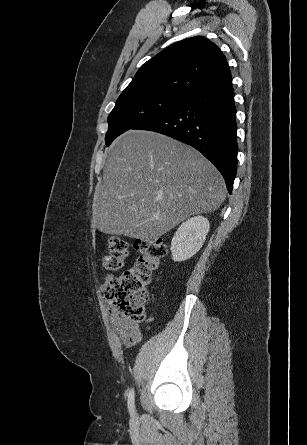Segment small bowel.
I'll list each match as a JSON object with an SVG mask.
<instances>
[{
    "mask_svg": "<svg viewBox=\"0 0 307 445\" xmlns=\"http://www.w3.org/2000/svg\"><path fill=\"white\" fill-rule=\"evenodd\" d=\"M114 278V275H107L105 281L100 286L102 291H106L109 282ZM108 316L111 325L116 330L120 340L124 343L126 347L135 346L141 337L140 330L137 324L125 320L120 313L115 310L112 306H108Z\"/></svg>",
    "mask_w": 307,
    "mask_h": 445,
    "instance_id": "c3829d8e",
    "label": "small bowel"
}]
</instances>
